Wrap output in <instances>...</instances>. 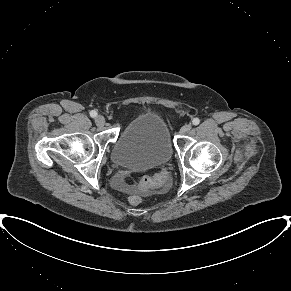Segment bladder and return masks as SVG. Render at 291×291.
<instances>
[{
    "instance_id": "31cf9c89",
    "label": "bladder",
    "mask_w": 291,
    "mask_h": 291,
    "mask_svg": "<svg viewBox=\"0 0 291 291\" xmlns=\"http://www.w3.org/2000/svg\"><path fill=\"white\" fill-rule=\"evenodd\" d=\"M172 154L165 122L156 114L144 113L120 131L112 147L111 159L119 167L146 170L166 165Z\"/></svg>"
}]
</instances>
